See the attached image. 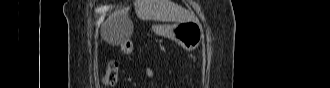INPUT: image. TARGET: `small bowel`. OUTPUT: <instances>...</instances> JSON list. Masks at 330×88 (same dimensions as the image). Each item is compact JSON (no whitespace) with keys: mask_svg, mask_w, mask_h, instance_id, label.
<instances>
[{"mask_svg":"<svg viewBox=\"0 0 330 88\" xmlns=\"http://www.w3.org/2000/svg\"><path fill=\"white\" fill-rule=\"evenodd\" d=\"M120 49L123 54H129L132 51V50L129 51V50L124 49L123 45H120ZM145 76L147 79H150L153 76V71L151 68L146 69Z\"/></svg>","mask_w":330,"mask_h":88,"instance_id":"obj_1","label":"small bowel"}]
</instances>
